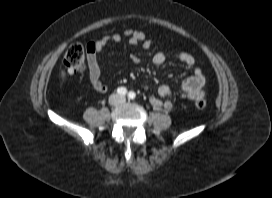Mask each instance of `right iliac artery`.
I'll return each mask as SVG.
<instances>
[{
  "label": "right iliac artery",
  "instance_id": "obj_1",
  "mask_svg": "<svg viewBox=\"0 0 272 198\" xmlns=\"http://www.w3.org/2000/svg\"><path fill=\"white\" fill-rule=\"evenodd\" d=\"M117 93H118L119 95H121V96H124V95L127 94V90H126V88H124V87H119V88L117 89Z\"/></svg>",
  "mask_w": 272,
  "mask_h": 198
}]
</instances>
